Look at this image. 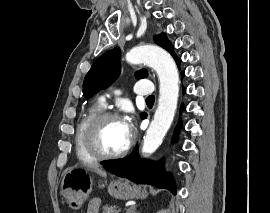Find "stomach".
<instances>
[{"label": "stomach", "mask_w": 270, "mask_h": 213, "mask_svg": "<svg viewBox=\"0 0 270 213\" xmlns=\"http://www.w3.org/2000/svg\"><path fill=\"white\" fill-rule=\"evenodd\" d=\"M61 192L65 203L72 210H78L89 198L93 186V175L90 169L68 168L62 175ZM111 196L128 200L145 198L147 193L137 186H131L127 180H113L108 185Z\"/></svg>", "instance_id": "1"}]
</instances>
